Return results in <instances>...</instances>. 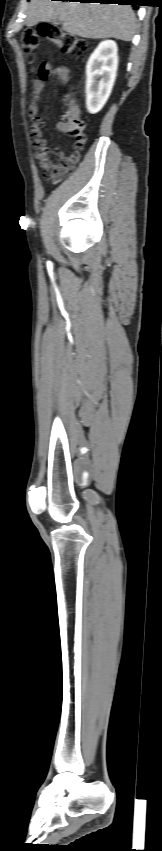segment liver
Segmentation results:
<instances>
[{
    "label": "liver",
    "mask_w": 162,
    "mask_h": 851,
    "mask_svg": "<svg viewBox=\"0 0 162 851\" xmlns=\"http://www.w3.org/2000/svg\"><path fill=\"white\" fill-rule=\"evenodd\" d=\"M56 18L64 31L83 38L130 41L134 35L135 14L129 5L31 0L25 23L31 27Z\"/></svg>",
    "instance_id": "liver-1"
}]
</instances>
